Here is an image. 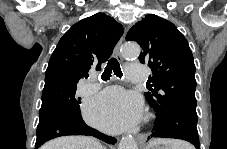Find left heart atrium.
<instances>
[{
  "label": "left heart atrium",
  "instance_id": "1",
  "mask_svg": "<svg viewBox=\"0 0 227 149\" xmlns=\"http://www.w3.org/2000/svg\"><path fill=\"white\" fill-rule=\"evenodd\" d=\"M141 100L120 87H110L97 94L87 105L86 119L107 132L133 127L140 119Z\"/></svg>",
  "mask_w": 227,
  "mask_h": 149
}]
</instances>
